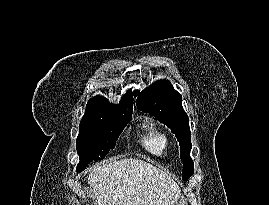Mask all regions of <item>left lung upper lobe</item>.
Instances as JSON below:
<instances>
[{"label": "left lung upper lobe", "instance_id": "5c2ea615", "mask_svg": "<svg viewBox=\"0 0 269 205\" xmlns=\"http://www.w3.org/2000/svg\"><path fill=\"white\" fill-rule=\"evenodd\" d=\"M134 97H137L136 104L140 111L160 119L175 134L183 162L182 179L187 181L194 172V164L189 156L192 147L191 132L188 116L182 107V96L171 83L160 80L141 93L134 91Z\"/></svg>", "mask_w": 269, "mask_h": 205}]
</instances>
